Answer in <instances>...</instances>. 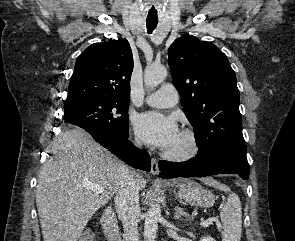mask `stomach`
<instances>
[{
	"label": "stomach",
	"mask_w": 295,
	"mask_h": 241,
	"mask_svg": "<svg viewBox=\"0 0 295 241\" xmlns=\"http://www.w3.org/2000/svg\"><path fill=\"white\" fill-rule=\"evenodd\" d=\"M170 187V191L182 204L208 208L215 202L214 195L195 181L178 180L171 183Z\"/></svg>",
	"instance_id": "0dacf381"
}]
</instances>
